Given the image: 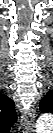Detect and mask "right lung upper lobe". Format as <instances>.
<instances>
[{
    "mask_svg": "<svg viewBox=\"0 0 53 133\" xmlns=\"http://www.w3.org/2000/svg\"><path fill=\"white\" fill-rule=\"evenodd\" d=\"M12 99L0 94V128L8 133L17 120L16 110Z\"/></svg>",
    "mask_w": 53,
    "mask_h": 133,
    "instance_id": "right-lung-upper-lobe-1",
    "label": "right lung upper lobe"
}]
</instances>
